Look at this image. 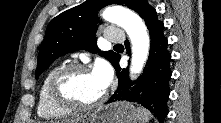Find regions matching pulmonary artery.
Masks as SVG:
<instances>
[{
  "label": "pulmonary artery",
  "instance_id": "pulmonary-artery-1",
  "mask_svg": "<svg viewBox=\"0 0 221 123\" xmlns=\"http://www.w3.org/2000/svg\"><path fill=\"white\" fill-rule=\"evenodd\" d=\"M105 38L112 43H120L124 41V33L119 28H112L106 31Z\"/></svg>",
  "mask_w": 221,
  "mask_h": 123
}]
</instances>
